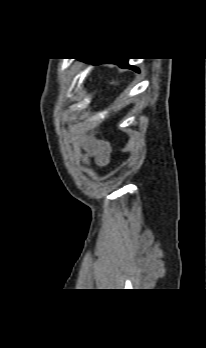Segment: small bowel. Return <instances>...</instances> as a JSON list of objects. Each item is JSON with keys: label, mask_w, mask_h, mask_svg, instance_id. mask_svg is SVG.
Masks as SVG:
<instances>
[{"label": "small bowel", "mask_w": 206, "mask_h": 348, "mask_svg": "<svg viewBox=\"0 0 206 348\" xmlns=\"http://www.w3.org/2000/svg\"><path fill=\"white\" fill-rule=\"evenodd\" d=\"M84 146L87 158L93 157L100 166L108 164L111 152L109 143L88 137L84 139Z\"/></svg>", "instance_id": "small-bowel-1"}]
</instances>
